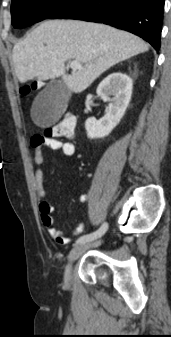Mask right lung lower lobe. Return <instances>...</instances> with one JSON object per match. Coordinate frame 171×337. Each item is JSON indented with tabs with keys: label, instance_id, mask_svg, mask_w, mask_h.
<instances>
[{
	"label": "right lung lower lobe",
	"instance_id": "right-lung-lower-lobe-1",
	"mask_svg": "<svg viewBox=\"0 0 171 337\" xmlns=\"http://www.w3.org/2000/svg\"><path fill=\"white\" fill-rule=\"evenodd\" d=\"M164 0H72L49 16L104 23L132 32L160 49Z\"/></svg>",
	"mask_w": 171,
	"mask_h": 337
}]
</instances>
